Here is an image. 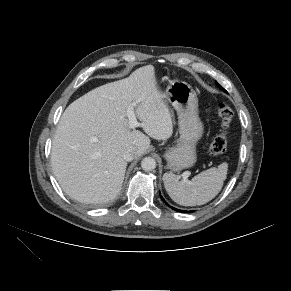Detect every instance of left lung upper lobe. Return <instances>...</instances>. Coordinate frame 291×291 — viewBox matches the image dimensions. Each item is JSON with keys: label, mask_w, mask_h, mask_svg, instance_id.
<instances>
[{"label": "left lung upper lobe", "mask_w": 291, "mask_h": 291, "mask_svg": "<svg viewBox=\"0 0 291 291\" xmlns=\"http://www.w3.org/2000/svg\"><path fill=\"white\" fill-rule=\"evenodd\" d=\"M216 84H217V86L220 88V89H222L223 91H225V89L224 88H222L217 82H216Z\"/></svg>", "instance_id": "5c2ea615"}]
</instances>
